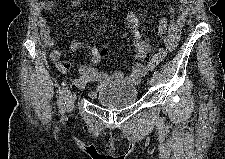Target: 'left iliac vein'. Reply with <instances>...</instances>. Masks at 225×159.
Segmentation results:
<instances>
[{
    "label": "left iliac vein",
    "instance_id": "1",
    "mask_svg": "<svg viewBox=\"0 0 225 159\" xmlns=\"http://www.w3.org/2000/svg\"><path fill=\"white\" fill-rule=\"evenodd\" d=\"M156 84V78L153 76L151 77V79L149 80V85L150 86H154Z\"/></svg>",
    "mask_w": 225,
    "mask_h": 159
}]
</instances>
